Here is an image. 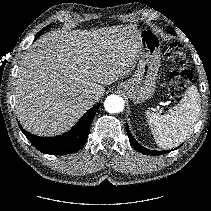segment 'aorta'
Instances as JSON below:
<instances>
[{
    "label": "aorta",
    "instance_id": "obj_1",
    "mask_svg": "<svg viewBox=\"0 0 211 211\" xmlns=\"http://www.w3.org/2000/svg\"><path fill=\"white\" fill-rule=\"evenodd\" d=\"M104 107L109 113H119L124 109V100L118 95H110L105 99Z\"/></svg>",
    "mask_w": 211,
    "mask_h": 211
}]
</instances>
